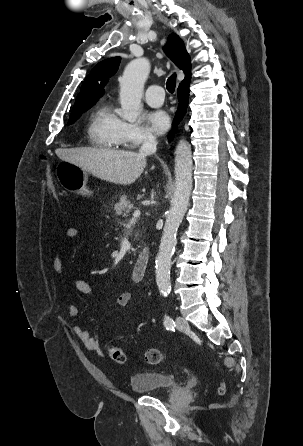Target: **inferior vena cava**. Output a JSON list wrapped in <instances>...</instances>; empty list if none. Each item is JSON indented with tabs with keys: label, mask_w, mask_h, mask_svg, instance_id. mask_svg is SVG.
<instances>
[{
	"label": "inferior vena cava",
	"mask_w": 303,
	"mask_h": 446,
	"mask_svg": "<svg viewBox=\"0 0 303 446\" xmlns=\"http://www.w3.org/2000/svg\"><path fill=\"white\" fill-rule=\"evenodd\" d=\"M157 150V141L153 135H147L144 138L143 144L139 150L141 155H151Z\"/></svg>",
	"instance_id": "602c4592"
}]
</instances>
